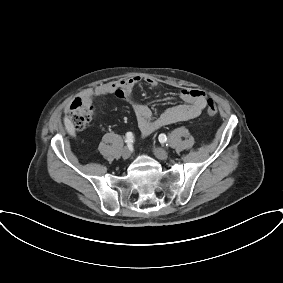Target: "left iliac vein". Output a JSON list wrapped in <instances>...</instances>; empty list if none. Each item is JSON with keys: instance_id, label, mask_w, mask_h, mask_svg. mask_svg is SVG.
<instances>
[{"instance_id": "1", "label": "left iliac vein", "mask_w": 283, "mask_h": 283, "mask_svg": "<svg viewBox=\"0 0 283 283\" xmlns=\"http://www.w3.org/2000/svg\"><path fill=\"white\" fill-rule=\"evenodd\" d=\"M153 153L160 160H166L168 158V153L162 148H154Z\"/></svg>"}]
</instances>
